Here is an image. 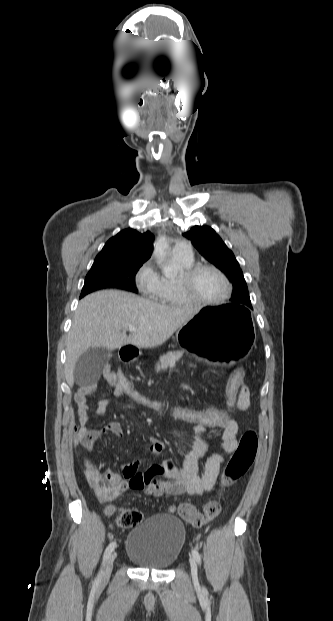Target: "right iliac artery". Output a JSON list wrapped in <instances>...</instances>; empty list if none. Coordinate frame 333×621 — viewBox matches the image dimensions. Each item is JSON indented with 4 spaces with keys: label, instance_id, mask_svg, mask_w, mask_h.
<instances>
[{
    "label": "right iliac artery",
    "instance_id": "1",
    "mask_svg": "<svg viewBox=\"0 0 333 621\" xmlns=\"http://www.w3.org/2000/svg\"><path fill=\"white\" fill-rule=\"evenodd\" d=\"M115 547H116V542H115V541H114V542H111V543L107 546V548H106V550H105V552H104V556H103V563H102L101 570H100V572H99V574H98L97 581H100V580L102 579V577H103V570H104L105 563H106V561L108 560L109 556L111 555V553H112V551L114 550V548H115Z\"/></svg>",
    "mask_w": 333,
    "mask_h": 621
}]
</instances>
